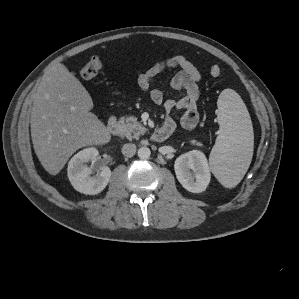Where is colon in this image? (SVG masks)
Returning a JSON list of instances; mask_svg holds the SVG:
<instances>
[{"mask_svg":"<svg viewBox=\"0 0 299 299\" xmlns=\"http://www.w3.org/2000/svg\"><path fill=\"white\" fill-rule=\"evenodd\" d=\"M102 66H103L102 60L99 57L94 56L82 67L81 76L86 80H90L98 74ZM220 74H221V69L218 65L211 66L210 75L212 77H218L220 76Z\"/></svg>","mask_w":299,"mask_h":299,"instance_id":"colon-1","label":"colon"}]
</instances>
